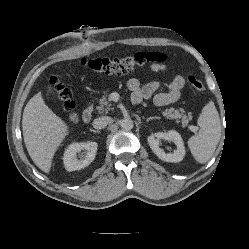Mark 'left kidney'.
Wrapping results in <instances>:
<instances>
[{
    "instance_id": "1",
    "label": "left kidney",
    "mask_w": 249,
    "mask_h": 249,
    "mask_svg": "<svg viewBox=\"0 0 249 249\" xmlns=\"http://www.w3.org/2000/svg\"><path fill=\"white\" fill-rule=\"evenodd\" d=\"M166 140L173 142L176 145V150L173 153H165L162 148L159 147L160 141ZM148 144L152 151L161 160L166 162H180L185 156V147L181 135L174 130L168 132H158L148 137Z\"/></svg>"
}]
</instances>
